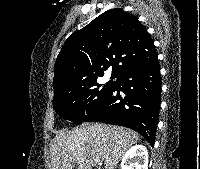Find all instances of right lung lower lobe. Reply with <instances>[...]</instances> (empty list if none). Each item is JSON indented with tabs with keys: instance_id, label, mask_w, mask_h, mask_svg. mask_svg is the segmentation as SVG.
Masks as SVG:
<instances>
[{
	"instance_id": "1",
	"label": "right lung lower lobe",
	"mask_w": 200,
	"mask_h": 169,
	"mask_svg": "<svg viewBox=\"0 0 200 169\" xmlns=\"http://www.w3.org/2000/svg\"><path fill=\"white\" fill-rule=\"evenodd\" d=\"M160 80L157 58L129 69L117 77L103 105L83 121L131 128L153 146L161 102Z\"/></svg>"
}]
</instances>
